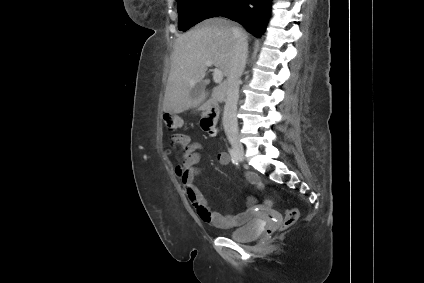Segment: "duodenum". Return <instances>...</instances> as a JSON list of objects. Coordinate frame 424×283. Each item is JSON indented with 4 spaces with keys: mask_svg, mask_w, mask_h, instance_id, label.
<instances>
[{
    "mask_svg": "<svg viewBox=\"0 0 424 283\" xmlns=\"http://www.w3.org/2000/svg\"><path fill=\"white\" fill-rule=\"evenodd\" d=\"M219 120V109L212 104L208 107L205 116L202 119V128L210 135H216Z\"/></svg>",
    "mask_w": 424,
    "mask_h": 283,
    "instance_id": "1",
    "label": "duodenum"
}]
</instances>
